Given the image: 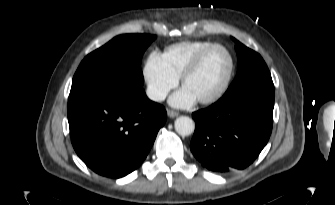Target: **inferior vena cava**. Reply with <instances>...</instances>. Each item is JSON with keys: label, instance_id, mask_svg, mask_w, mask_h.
Returning a JSON list of instances; mask_svg holds the SVG:
<instances>
[{"label": "inferior vena cava", "instance_id": "1", "mask_svg": "<svg viewBox=\"0 0 335 205\" xmlns=\"http://www.w3.org/2000/svg\"><path fill=\"white\" fill-rule=\"evenodd\" d=\"M147 96L153 101H162L166 98L167 92L153 87H148Z\"/></svg>", "mask_w": 335, "mask_h": 205}]
</instances>
